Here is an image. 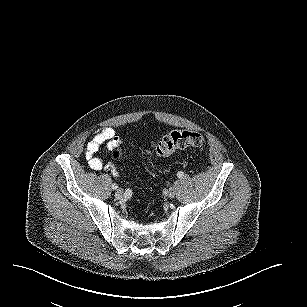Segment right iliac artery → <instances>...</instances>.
I'll list each match as a JSON object with an SVG mask.
<instances>
[{
    "label": "right iliac artery",
    "instance_id": "right-iliac-artery-1",
    "mask_svg": "<svg viewBox=\"0 0 307 307\" xmlns=\"http://www.w3.org/2000/svg\"><path fill=\"white\" fill-rule=\"evenodd\" d=\"M118 188V185L117 184H112V189L116 190Z\"/></svg>",
    "mask_w": 307,
    "mask_h": 307
}]
</instances>
